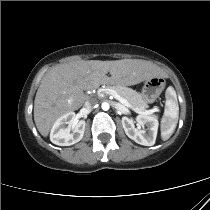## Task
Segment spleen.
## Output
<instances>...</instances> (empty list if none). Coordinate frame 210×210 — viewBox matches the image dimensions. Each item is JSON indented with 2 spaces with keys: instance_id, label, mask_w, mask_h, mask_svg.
Listing matches in <instances>:
<instances>
[{
  "instance_id": "spleen-1",
  "label": "spleen",
  "mask_w": 210,
  "mask_h": 210,
  "mask_svg": "<svg viewBox=\"0 0 210 210\" xmlns=\"http://www.w3.org/2000/svg\"><path fill=\"white\" fill-rule=\"evenodd\" d=\"M165 111L161 120V136L163 140H168L174 133L179 117V106L177 95L173 87L166 90Z\"/></svg>"
}]
</instances>
